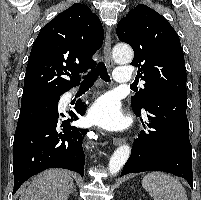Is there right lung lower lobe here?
<instances>
[{
  "mask_svg": "<svg viewBox=\"0 0 201 200\" xmlns=\"http://www.w3.org/2000/svg\"><path fill=\"white\" fill-rule=\"evenodd\" d=\"M60 97L48 96L21 104L13 142V194L31 176L48 168L69 169L84 176L82 140L87 130L71 126L70 119L59 123ZM75 110L85 114L81 100L76 102ZM69 115L71 121L78 119L73 112Z\"/></svg>",
  "mask_w": 201,
  "mask_h": 200,
  "instance_id": "1",
  "label": "right lung lower lobe"
}]
</instances>
